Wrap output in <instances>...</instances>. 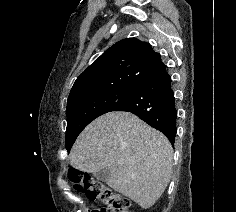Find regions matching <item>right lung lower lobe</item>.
<instances>
[{
	"mask_svg": "<svg viewBox=\"0 0 236 212\" xmlns=\"http://www.w3.org/2000/svg\"><path fill=\"white\" fill-rule=\"evenodd\" d=\"M114 111L137 115L144 122L161 131L172 145L176 136L177 110L172 80L163 63L145 75L134 87L130 97Z\"/></svg>",
	"mask_w": 236,
	"mask_h": 212,
	"instance_id": "1",
	"label": "right lung lower lobe"
}]
</instances>
